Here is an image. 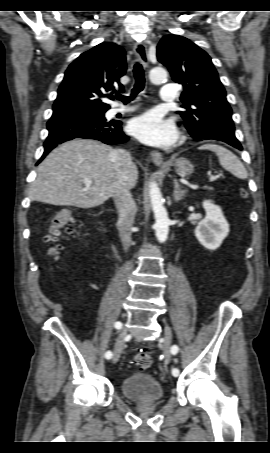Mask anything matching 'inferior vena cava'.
Instances as JSON below:
<instances>
[{
	"mask_svg": "<svg viewBox=\"0 0 270 453\" xmlns=\"http://www.w3.org/2000/svg\"><path fill=\"white\" fill-rule=\"evenodd\" d=\"M115 166L120 172V182L114 196L118 210V230L124 249L127 251L131 245V228L135 218V202L127 187V170L133 164L131 155L124 149L113 150L111 153Z\"/></svg>",
	"mask_w": 270,
	"mask_h": 453,
	"instance_id": "inferior-vena-cava-1",
	"label": "inferior vena cava"
}]
</instances>
